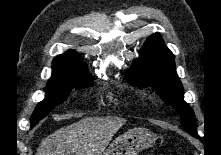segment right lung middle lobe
Here are the masks:
<instances>
[{"instance_id":"1","label":"right lung middle lobe","mask_w":221,"mask_h":155,"mask_svg":"<svg viewBox=\"0 0 221 155\" xmlns=\"http://www.w3.org/2000/svg\"><path fill=\"white\" fill-rule=\"evenodd\" d=\"M92 84V77L87 70H77L64 74H53L46 85L45 99L35 108L31 116V129L38 121L46 117L49 112L63 102L72 88L81 89Z\"/></svg>"}]
</instances>
